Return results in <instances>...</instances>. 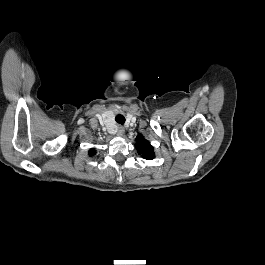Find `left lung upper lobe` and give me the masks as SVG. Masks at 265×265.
Listing matches in <instances>:
<instances>
[{
  "label": "left lung upper lobe",
  "mask_w": 265,
  "mask_h": 265,
  "mask_svg": "<svg viewBox=\"0 0 265 265\" xmlns=\"http://www.w3.org/2000/svg\"><path fill=\"white\" fill-rule=\"evenodd\" d=\"M135 146L143 158L151 160L155 157L152 145L141 134L137 135Z\"/></svg>",
  "instance_id": "5c2ea615"
}]
</instances>
